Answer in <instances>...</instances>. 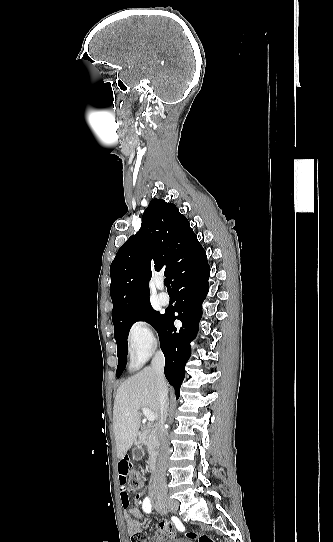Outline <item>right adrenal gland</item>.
<instances>
[{
	"label": "right adrenal gland",
	"instance_id": "obj_1",
	"mask_svg": "<svg viewBox=\"0 0 333 542\" xmlns=\"http://www.w3.org/2000/svg\"><path fill=\"white\" fill-rule=\"evenodd\" d=\"M168 406H169V402H167L166 404V412H168Z\"/></svg>",
	"mask_w": 333,
	"mask_h": 542
}]
</instances>
